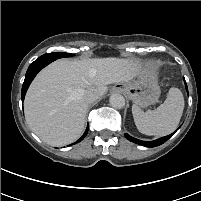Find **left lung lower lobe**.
Here are the masks:
<instances>
[{"instance_id": "left-lung-lower-lobe-1", "label": "left lung lower lobe", "mask_w": 201, "mask_h": 201, "mask_svg": "<svg viewBox=\"0 0 201 201\" xmlns=\"http://www.w3.org/2000/svg\"><path fill=\"white\" fill-rule=\"evenodd\" d=\"M185 86H186V90L188 91L186 82H185ZM174 133H172V134H170L168 136L159 138V139H157L155 141H142V140H138L136 138H133V137L129 136L127 133L125 134V137L129 141L134 142V143L139 144V145H142V146H145V147H156V146H159V145H162L163 143H165Z\"/></svg>"}]
</instances>
